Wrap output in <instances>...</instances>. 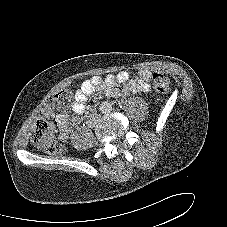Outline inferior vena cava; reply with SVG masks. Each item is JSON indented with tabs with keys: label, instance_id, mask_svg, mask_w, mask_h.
Listing matches in <instances>:
<instances>
[{
	"label": "inferior vena cava",
	"instance_id": "inferior-vena-cava-1",
	"mask_svg": "<svg viewBox=\"0 0 227 227\" xmlns=\"http://www.w3.org/2000/svg\"><path fill=\"white\" fill-rule=\"evenodd\" d=\"M110 109H111V107H110V104L109 103H106V102L102 103V105H101V111H103V112H109Z\"/></svg>",
	"mask_w": 227,
	"mask_h": 227
}]
</instances>
